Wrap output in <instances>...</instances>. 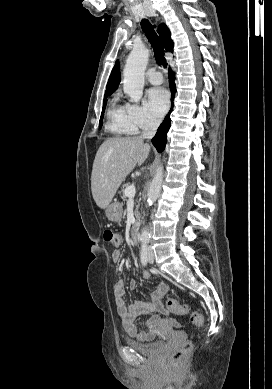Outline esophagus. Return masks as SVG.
<instances>
[{
	"label": "esophagus",
	"instance_id": "1",
	"mask_svg": "<svg viewBox=\"0 0 272 389\" xmlns=\"http://www.w3.org/2000/svg\"><path fill=\"white\" fill-rule=\"evenodd\" d=\"M152 15L155 17L156 19V23L159 21V17H158V14H156L155 12L152 13Z\"/></svg>",
	"mask_w": 272,
	"mask_h": 389
}]
</instances>
